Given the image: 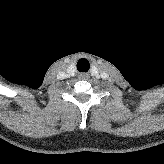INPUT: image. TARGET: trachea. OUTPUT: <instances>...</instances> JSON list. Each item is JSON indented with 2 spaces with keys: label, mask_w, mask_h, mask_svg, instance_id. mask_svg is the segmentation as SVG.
<instances>
[{
  "label": "trachea",
  "mask_w": 164,
  "mask_h": 164,
  "mask_svg": "<svg viewBox=\"0 0 164 164\" xmlns=\"http://www.w3.org/2000/svg\"><path fill=\"white\" fill-rule=\"evenodd\" d=\"M89 68H90V64L86 59L82 58L78 61V64H77L78 71L87 72Z\"/></svg>",
  "instance_id": "3493384b"
}]
</instances>
